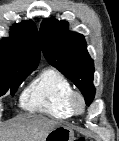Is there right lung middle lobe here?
Instances as JSON below:
<instances>
[{
	"label": "right lung middle lobe",
	"mask_w": 119,
	"mask_h": 141,
	"mask_svg": "<svg viewBox=\"0 0 119 141\" xmlns=\"http://www.w3.org/2000/svg\"><path fill=\"white\" fill-rule=\"evenodd\" d=\"M28 73H0V96L6 92H10L13 95L19 85L30 74Z\"/></svg>",
	"instance_id": "right-lung-middle-lobe-1"
}]
</instances>
